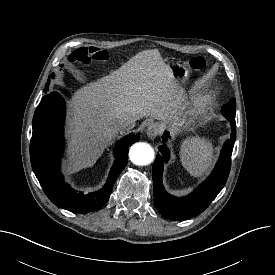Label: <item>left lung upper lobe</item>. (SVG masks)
<instances>
[{"mask_svg":"<svg viewBox=\"0 0 275 275\" xmlns=\"http://www.w3.org/2000/svg\"><path fill=\"white\" fill-rule=\"evenodd\" d=\"M222 114L231 122H235L236 114V101L231 99L227 104L222 108Z\"/></svg>","mask_w":275,"mask_h":275,"instance_id":"obj_1","label":"left lung upper lobe"}]
</instances>
